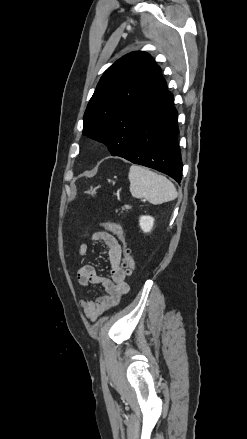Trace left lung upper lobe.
Segmentation results:
<instances>
[{
  "instance_id": "left-lung-upper-lobe-1",
  "label": "left lung upper lobe",
  "mask_w": 247,
  "mask_h": 439,
  "mask_svg": "<svg viewBox=\"0 0 247 439\" xmlns=\"http://www.w3.org/2000/svg\"><path fill=\"white\" fill-rule=\"evenodd\" d=\"M171 95L152 57L141 51L129 53L101 77L84 114L83 134L122 157L143 122Z\"/></svg>"
}]
</instances>
